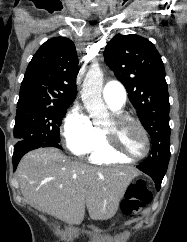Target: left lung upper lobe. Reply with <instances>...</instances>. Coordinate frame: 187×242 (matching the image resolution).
<instances>
[{"label":"left lung upper lobe","instance_id":"1","mask_svg":"<svg viewBox=\"0 0 187 242\" xmlns=\"http://www.w3.org/2000/svg\"><path fill=\"white\" fill-rule=\"evenodd\" d=\"M106 64L125 86L143 127L151 154L140 165L167 169L170 159L169 95L164 64L155 46L138 35H116L104 51Z\"/></svg>","mask_w":187,"mask_h":242}]
</instances>
